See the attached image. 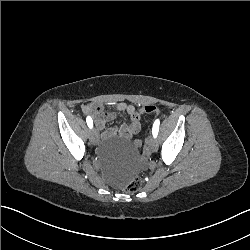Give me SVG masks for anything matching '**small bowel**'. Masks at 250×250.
I'll return each instance as SVG.
<instances>
[{
    "instance_id": "1",
    "label": "small bowel",
    "mask_w": 250,
    "mask_h": 250,
    "mask_svg": "<svg viewBox=\"0 0 250 250\" xmlns=\"http://www.w3.org/2000/svg\"><path fill=\"white\" fill-rule=\"evenodd\" d=\"M118 112L126 113L130 117V113L133 110H136L134 107L126 105V104H119L117 106ZM83 113L85 115H89L94 119L96 128L98 130H102L106 123L115 119L116 113L115 112H105L103 105L100 103H90L83 107ZM141 129L140 122H133L130 119L128 124H123L119 128H111L108 131L109 136H114L116 134L120 135L123 139L129 140L134 135L138 134Z\"/></svg>"
}]
</instances>
